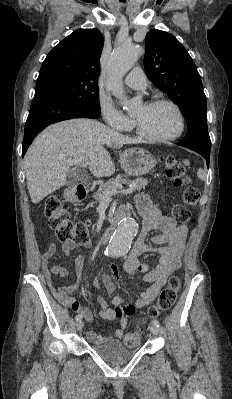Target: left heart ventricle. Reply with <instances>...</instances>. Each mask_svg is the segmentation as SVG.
<instances>
[{
  "instance_id": "1",
  "label": "left heart ventricle",
  "mask_w": 232,
  "mask_h": 399,
  "mask_svg": "<svg viewBox=\"0 0 232 399\" xmlns=\"http://www.w3.org/2000/svg\"><path fill=\"white\" fill-rule=\"evenodd\" d=\"M142 130L152 137H169L179 129V118L169 105L140 106L133 113Z\"/></svg>"
}]
</instances>
